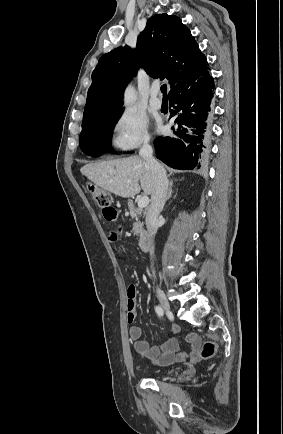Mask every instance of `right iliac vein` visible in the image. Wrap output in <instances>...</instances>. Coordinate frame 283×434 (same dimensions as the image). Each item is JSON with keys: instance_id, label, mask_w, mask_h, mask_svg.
Wrapping results in <instances>:
<instances>
[{"instance_id": "63e3f726", "label": "right iliac vein", "mask_w": 283, "mask_h": 434, "mask_svg": "<svg viewBox=\"0 0 283 434\" xmlns=\"http://www.w3.org/2000/svg\"><path fill=\"white\" fill-rule=\"evenodd\" d=\"M156 293H157L158 300H159L160 305L163 308V310L170 313L171 307H170L169 301L167 300L163 291L160 288H157Z\"/></svg>"}]
</instances>
